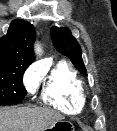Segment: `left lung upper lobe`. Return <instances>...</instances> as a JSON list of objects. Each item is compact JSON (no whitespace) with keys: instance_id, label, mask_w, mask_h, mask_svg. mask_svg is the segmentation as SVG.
<instances>
[{"instance_id":"5c2ea615","label":"left lung upper lobe","mask_w":117,"mask_h":131,"mask_svg":"<svg viewBox=\"0 0 117 131\" xmlns=\"http://www.w3.org/2000/svg\"><path fill=\"white\" fill-rule=\"evenodd\" d=\"M51 38L57 51L70 58L73 65L82 74L87 75L82 60V51L79 43L68 28H51Z\"/></svg>"}]
</instances>
